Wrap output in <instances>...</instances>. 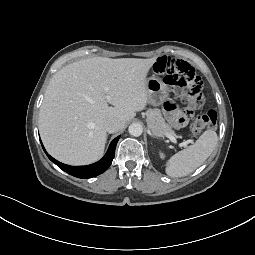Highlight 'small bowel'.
Instances as JSON below:
<instances>
[{
    "label": "small bowel",
    "mask_w": 255,
    "mask_h": 255,
    "mask_svg": "<svg viewBox=\"0 0 255 255\" xmlns=\"http://www.w3.org/2000/svg\"><path fill=\"white\" fill-rule=\"evenodd\" d=\"M167 112L178 127L188 124L193 119V112L189 108H176L174 105L169 104Z\"/></svg>",
    "instance_id": "obj_1"
}]
</instances>
